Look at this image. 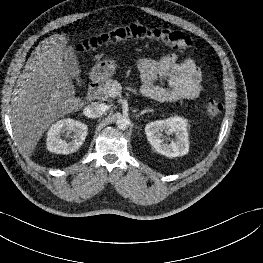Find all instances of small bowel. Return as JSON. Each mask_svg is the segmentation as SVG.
<instances>
[{
	"label": "small bowel",
	"mask_w": 263,
	"mask_h": 263,
	"mask_svg": "<svg viewBox=\"0 0 263 263\" xmlns=\"http://www.w3.org/2000/svg\"><path fill=\"white\" fill-rule=\"evenodd\" d=\"M142 86L141 93L159 102L196 99L202 90L201 72L191 59L180 60L175 53L159 59L139 58L136 62ZM166 80L168 86L158 84Z\"/></svg>",
	"instance_id": "obj_1"
}]
</instances>
